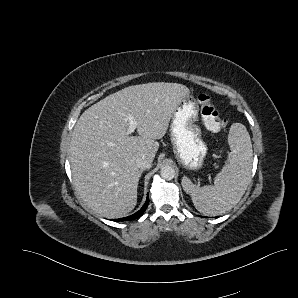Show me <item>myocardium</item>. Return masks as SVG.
Segmentation results:
<instances>
[{
  "label": "myocardium",
  "mask_w": 298,
  "mask_h": 298,
  "mask_svg": "<svg viewBox=\"0 0 298 298\" xmlns=\"http://www.w3.org/2000/svg\"><path fill=\"white\" fill-rule=\"evenodd\" d=\"M150 160H151V158H149V159L147 160L146 164H148V163L150 162Z\"/></svg>",
  "instance_id": "obj_1"
}]
</instances>
